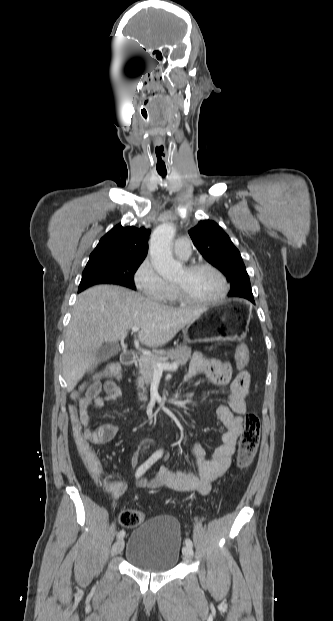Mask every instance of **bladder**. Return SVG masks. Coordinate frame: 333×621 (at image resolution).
<instances>
[{"mask_svg": "<svg viewBox=\"0 0 333 621\" xmlns=\"http://www.w3.org/2000/svg\"><path fill=\"white\" fill-rule=\"evenodd\" d=\"M181 526L169 515L154 516L134 527L125 557L133 567L154 573L172 570L180 557Z\"/></svg>", "mask_w": 333, "mask_h": 621, "instance_id": "1", "label": "bladder"}]
</instances>
